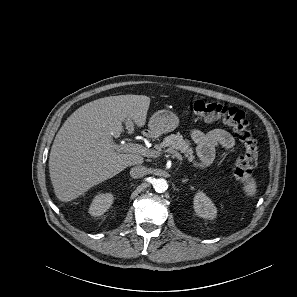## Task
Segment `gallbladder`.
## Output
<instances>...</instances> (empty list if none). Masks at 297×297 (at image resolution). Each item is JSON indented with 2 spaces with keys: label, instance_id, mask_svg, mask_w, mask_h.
Returning <instances> with one entry per match:
<instances>
[{
  "label": "gallbladder",
  "instance_id": "bac80fb5",
  "mask_svg": "<svg viewBox=\"0 0 297 297\" xmlns=\"http://www.w3.org/2000/svg\"><path fill=\"white\" fill-rule=\"evenodd\" d=\"M125 124L127 125L128 128H131L133 126V121L131 119H126Z\"/></svg>",
  "mask_w": 297,
  "mask_h": 297
}]
</instances>
